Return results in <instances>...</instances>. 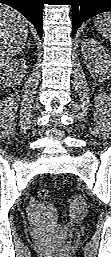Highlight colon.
I'll return each mask as SVG.
<instances>
[{
  "mask_svg": "<svg viewBox=\"0 0 111 257\" xmlns=\"http://www.w3.org/2000/svg\"><path fill=\"white\" fill-rule=\"evenodd\" d=\"M50 192L47 188H41L37 192V197L40 202V207L42 209H48L50 208V203L48 202Z\"/></svg>",
  "mask_w": 111,
  "mask_h": 257,
  "instance_id": "5ec220e1",
  "label": "colon"
}]
</instances>
